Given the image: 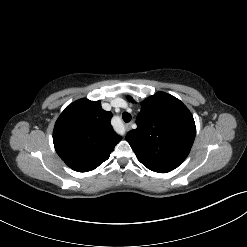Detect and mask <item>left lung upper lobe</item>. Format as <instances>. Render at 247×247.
<instances>
[{
    "label": "left lung upper lobe",
    "instance_id": "left-lung-upper-lobe-1",
    "mask_svg": "<svg viewBox=\"0 0 247 247\" xmlns=\"http://www.w3.org/2000/svg\"><path fill=\"white\" fill-rule=\"evenodd\" d=\"M128 100L134 102L131 97ZM136 123L126 140L145 167L167 173L186 159L196 127L191 112L179 99L165 92L150 96L142 102Z\"/></svg>",
    "mask_w": 247,
    "mask_h": 247
}]
</instances>
